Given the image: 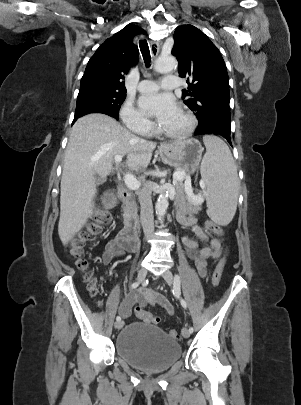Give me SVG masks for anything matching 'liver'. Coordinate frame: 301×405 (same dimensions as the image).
I'll list each match as a JSON object with an SVG mask.
<instances>
[{"label": "liver", "mask_w": 301, "mask_h": 405, "mask_svg": "<svg viewBox=\"0 0 301 405\" xmlns=\"http://www.w3.org/2000/svg\"><path fill=\"white\" fill-rule=\"evenodd\" d=\"M156 143L136 137L115 119L90 114L73 125L61 176L58 234L69 242L93 214L98 179L110 175L114 156H127L126 168H146Z\"/></svg>", "instance_id": "6515ba94"}]
</instances>
